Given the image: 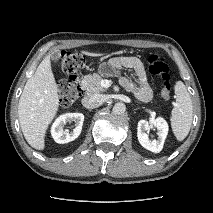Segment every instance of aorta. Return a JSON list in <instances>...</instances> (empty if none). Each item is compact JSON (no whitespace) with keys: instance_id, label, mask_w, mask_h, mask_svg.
I'll return each mask as SVG.
<instances>
[{"instance_id":"aorta-1","label":"aorta","mask_w":213,"mask_h":213,"mask_svg":"<svg viewBox=\"0 0 213 213\" xmlns=\"http://www.w3.org/2000/svg\"><path fill=\"white\" fill-rule=\"evenodd\" d=\"M114 114L121 115L126 111V106L122 102H118L113 106L112 109Z\"/></svg>"}]
</instances>
